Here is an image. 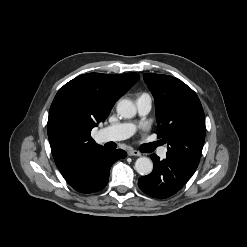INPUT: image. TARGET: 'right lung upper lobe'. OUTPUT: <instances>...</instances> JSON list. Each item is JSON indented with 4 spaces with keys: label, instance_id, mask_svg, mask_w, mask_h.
Segmentation results:
<instances>
[{
    "label": "right lung upper lobe",
    "instance_id": "right-lung-upper-lobe-1",
    "mask_svg": "<svg viewBox=\"0 0 247 247\" xmlns=\"http://www.w3.org/2000/svg\"><path fill=\"white\" fill-rule=\"evenodd\" d=\"M140 78L137 73L80 75L56 94L49 111L48 137L59 171L68 175L76 163L104 149L92 128L108 117L115 102Z\"/></svg>",
    "mask_w": 247,
    "mask_h": 247
}]
</instances>
